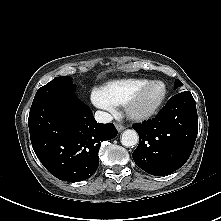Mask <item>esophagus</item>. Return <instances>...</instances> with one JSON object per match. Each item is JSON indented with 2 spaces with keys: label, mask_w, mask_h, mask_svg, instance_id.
I'll list each match as a JSON object with an SVG mask.
<instances>
[{
  "label": "esophagus",
  "mask_w": 221,
  "mask_h": 221,
  "mask_svg": "<svg viewBox=\"0 0 221 221\" xmlns=\"http://www.w3.org/2000/svg\"><path fill=\"white\" fill-rule=\"evenodd\" d=\"M115 127H116V129H117L118 132H121L122 130L125 129V127H124L123 125L118 124V123L115 124Z\"/></svg>",
  "instance_id": "34e87169"
}]
</instances>
